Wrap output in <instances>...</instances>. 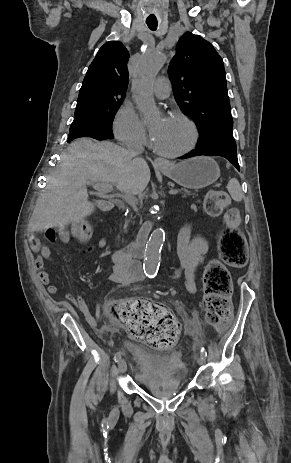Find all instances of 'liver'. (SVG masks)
I'll return each mask as SVG.
<instances>
[{
  "instance_id": "liver-1",
  "label": "liver",
  "mask_w": 291,
  "mask_h": 463,
  "mask_svg": "<svg viewBox=\"0 0 291 463\" xmlns=\"http://www.w3.org/2000/svg\"><path fill=\"white\" fill-rule=\"evenodd\" d=\"M150 169L142 157H132L114 143L89 138L73 141L61 156L57 171L36 202L29 222L31 231L65 228L91 215L87 184L105 182L127 194L138 195L147 187Z\"/></svg>"
}]
</instances>
